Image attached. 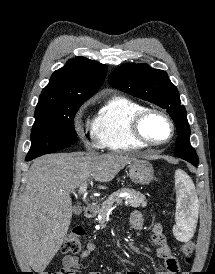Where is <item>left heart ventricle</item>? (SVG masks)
Masks as SVG:
<instances>
[{
  "label": "left heart ventricle",
  "instance_id": "left-heart-ventricle-1",
  "mask_svg": "<svg viewBox=\"0 0 215 274\" xmlns=\"http://www.w3.org/2000/svg\"><path fill=\"white\" fill-rule=\"evenodd\" d=\"M144 134L154 142L166 140L170 135L168 122L158 114H151L143 124Z\"/></svg>",
  "mask_w": 215,
  "mask_h": 274
}]
</instances>
